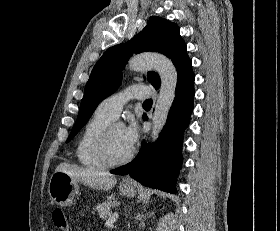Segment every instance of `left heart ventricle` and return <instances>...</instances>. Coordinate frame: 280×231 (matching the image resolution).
I'll use <instances>...</instances> for the list:
<instances>
[{
    "label": "left heart ventricle",
    "instance_id": "1",
    "mask_svg": "<svg viewBox=\"0 0 280 231\" xmlns=\"http://www.w3.org/2000/svg\"><path fill=\"white\" fill-rule=\"evenodd\" d=\"M121 129L120 124H115L110 131L108 141L110 156L116 160L122 159L129 153L122 144Z\"/></svg>",
    "mask_w": 280,
    "mask_h": 231
}]
</instances>
